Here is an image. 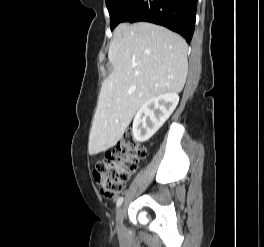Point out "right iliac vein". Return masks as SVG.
Instances as JSON below:
<instances>
[{
  "instance_id": "63e3f726",
  "label": "right iliac vein",
  "mask_w": 264,
  "mask_h": 247,
  "mask_svg": "<svg viewBox=\"0 0 264 247\" xmlns=\"http://www.w3.org/2000/svg\"><path fill=\"white\" fill-rule=\"evenodd\" d=\"M123 216V208L120 207L116 213L117 227L120 232L123 230Z\"/></svg>"
}]
</instances>
